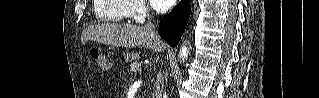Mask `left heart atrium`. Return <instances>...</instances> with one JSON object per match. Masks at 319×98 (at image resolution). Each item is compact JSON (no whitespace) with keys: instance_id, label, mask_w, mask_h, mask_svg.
<instances>
[{"instance_id":"left-heart-atrium-1","label":"left heart atrium","mask_w":319,"mask_h":98,"mask_svg":"<svg viewBox=\"0 0 319 98\" xmlns=\"http://www.w3.org/2000/svg\"><path fill=\"white\" fill-rule=\"evenodd\" d=\"M152 7L158 12L167 11L174 3V0H151Z\"/></svg>"}]
</instances>
